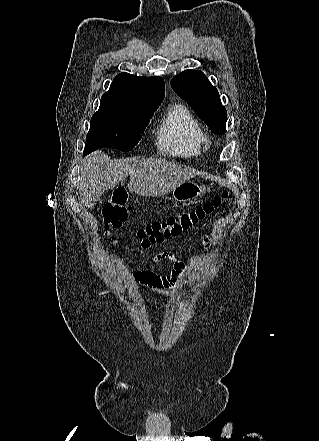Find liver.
Segmentation results:
<instances>
[{
  "label": "liver",
  "mask_w": 319,
  "mask_h": 441,
  "mask_svg": "<svg viewBox=\"0 0 319 441\" xmlns=\"http://www.w3.org/2000/svg\"><path fill=\"white\" fill-rule=\"evenodd\" d=\"M195 169L182 167L166 159L112 160L102 151L86 157L81 167V202L92 208L108 189L130 177L129 187L140 196H162L193 178Z\"/></svg>",
  "instance_id": "6515ba94"
}]
</instances>
